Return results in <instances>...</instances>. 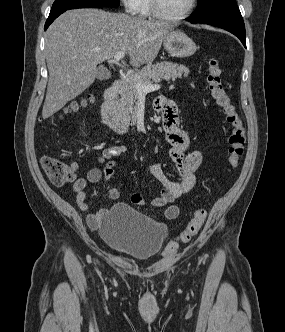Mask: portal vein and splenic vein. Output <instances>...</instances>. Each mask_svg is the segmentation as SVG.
<instances>
[{
	"instance_id": "obj_1",
	"label": "portal vein and splenic vein",
	"mask_w": 285,
	"mask_h": 332,
	"mask_svg": "<svg viewBox=\"0 0 285 332\" xmlns=\"http://www.w3.org/2000/svg\"><path fill=\"white\" fill-rule=\"evenodd\" d=\"M125 55L124 51L117 52L114 56V62L118 63ZM159 84H153V85H143L141 83H135V88L137 90V93L140 95H145L148 92L155 91L160 89Z\"/></svg>"
}]
</instances>
